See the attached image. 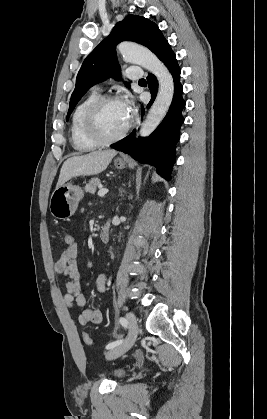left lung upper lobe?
<instances>
[{
    "instance_id": "left-lung-upper-lobe-1",
    "label": "left lung upper lobe",
    "mask_w": 267,
    "mask_h": 419,
    "mask_svg": "<svg viewBox=\"0 0 267 419\" xmlns=\"http://www.w3.org/2000/svg\"><path fill=\"white\" fill-rule=\"evenodd\" d=\"M134 41L149 48L157 57L168 43L158 26L147 18L128 15L84 60L70 99L67 118L83 95L95 84L115 77L120 67L115 46L122 41ZM130 87L128 83H125Z\"/></svg>"
}]
</instances>
